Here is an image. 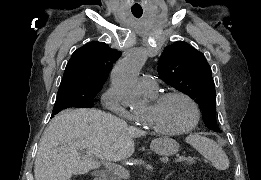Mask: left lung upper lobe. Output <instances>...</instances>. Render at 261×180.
<instances>
[{"mask_svg":"<svg viewBox=\"0 0 261 180\" xmlns=\"http://www.w3.org/2000/svg\"><path fill=\"white\" fill-rule=\"evenodd\" d=\"M160 77L194 99L207 128L220 132L216 121V93L211 68L204 55L184 41L167 46L158 63Z\"/></svg>","mask_w":261,"mask_h":180,"instance_id":"1","label":"left lung upper lobe"}]
</instances>
